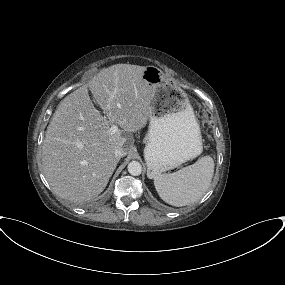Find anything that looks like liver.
<instances>
[{
    "mask_svg": "<svg viewBox=\"0 0 285 285\" xmlns=\"http://www.w3.org/2000/svg\"><path fill=\"white\" fill-rule=\"evenodd\" d=\"M144 70L131 64L104 68L60 102L42 146L43 173L59 197L74 203L94 199L119 162L115 149L130 152L132 133L150 119L153 92ZM88 88L104 115L94 107ZM114 124L121 129L111 133Z\"/></svg>",
    "mask_w": 285,
    "mask_h": 285,
    "instance_id": "6515ba94",
    "label": "liver"
}]
</instances>
